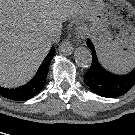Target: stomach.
I'll return each mask as SVG.
<instances>
[{
    "instance_id": "stomach-1",
    "label": "stomach",
    "mask_w": 135,
    "mask_h": 135,
    "mask_svg": "<svg viewBox=\"0 0 135 135\" xmlns=\"http://www.w3.org/2000/svg\"><path fill=\"white\" fill-rule=\"evenodd\" d=\"M92 37L101 59L135 54V8L125 0H93Z\"/></svg>"
}]
</instances>
